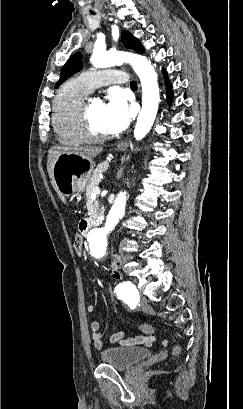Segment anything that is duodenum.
I'll list each match as a JSON object with an SVG mask.
<instances>
[{
    "label": "duodenum",
    "mask_w": 243,
    "mask_h": 409,
    "mask_svg": "<svg viewBox=\"0 0 243 409\" xmlns=\"http://www.w3.org/2000/svg\"><path fill=\"white\" fill-rule=\"evenodd\" d=\"M99 225V221L97 220H87L81 224V228L83 231H88L89 229L96 227Z\"/></svg>",
    "instance_id": "410a0bca"
}]
</instances>
